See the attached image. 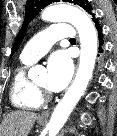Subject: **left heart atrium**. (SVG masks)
I'll use <instances>...</instances> for the list:
<instances>
[{
	"mask_svg": "<svg viewBox=\"0 0 117 136\" xmlns=\"http://www.w3.org/2000/svg\"><path fill=\"white\" fill-rule=\"evenodd\" d=\"M47 87L53 92H59L66 87L73 73V63L64 50L53 53L47 63Z\"/></svg>",
	"mask_w": 117,
	"mask_h": 136,
	"instance_id": "1",
	"label": "left heart atrium"
}]
</instances>
